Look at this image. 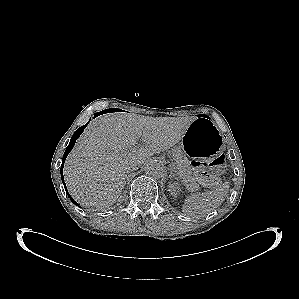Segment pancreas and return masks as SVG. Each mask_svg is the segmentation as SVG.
<instances>
[{
    "instance_id": "1",
    "label": "pancreas",
    "mask_w": 299,
    "mask_h": 299,
    "mask_svg": "<svg viewBox=\"0 0 299 299\" xmlns=\"http://www.w3.org/2000/svg\"><path fill=\"white\" fill-rule=\"evenodd\" d=\"M173 153L175 159L174 166L179 177L182 179L189 190H198L199 184L197 183V179L192 172V168L185 153L180 149L173 150Z\"/></svg>"
}]
</instances>
